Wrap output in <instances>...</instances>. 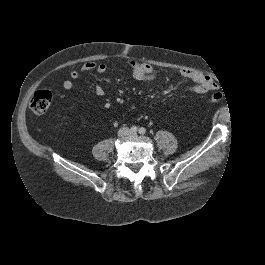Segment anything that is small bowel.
Instances as JSON below:
<instances>
[{"instance_id": "small-bowel-1", "label": "small bowel", "mask_w": 265, "mask_h": 265, "mask_svg": "<svg viewBox=\"0 0 265 265\" xmlns=\"http://www.w3.org/2000/svg\"><path fill=\"white\" fill-rule=\"evenodd\" d=\"M129 67L132 69L133 76L140 82H149L154 80L158 74L153 67L147 63H141L137 61H129ZM96 71L99 74H104L107 71V65L103 62H87L78 69L70 71V79L63 82V88L65 90H71L73 88V81L76 80L82 73ZM180 75L183 78L192 80L195 85L191 87V91L196 94H204L209 91L217 89L216 83L208 76L196 72L193 70H182ZM95 93L98 97H103L104 89L99 85H94Z\"/></svg>"}]
</instances>
